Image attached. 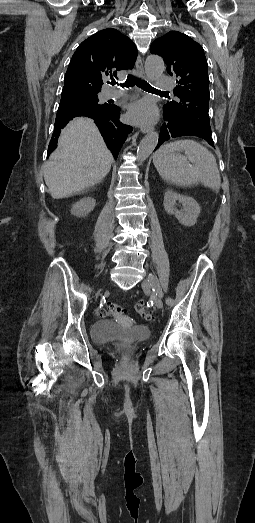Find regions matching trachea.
<instances>
[{
    "mask_svg": "<svg viewBox=\"0 0 255 523\" xmlns=\"http://www.w3.org/2000/svg\"><path fill=\"white\" fill-rule=\"evenodd\" d=\"M115 80H112L111 85H115ZM134 85H137V87L142 88V90H145L146 92H161V93H167L162 92L161 90H158L157 88L152 87L149 85V83L145 82L139 77H135L134 75H128L127 80L125 83L121 84L122 87H133Z\"/></svg>",
    "mask_w": 255,
    "mask_h": 523,
    "instance_id": "obj_1",
    "label": "trachea"
}]
</instances>
